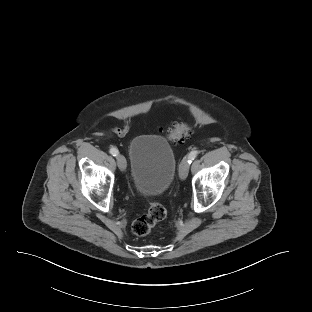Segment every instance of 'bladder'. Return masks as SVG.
I'll list each match as a JSON object with an SVG mask.
<instances>
[{"instance_id":"obj_1","label":"bladder","mask_w":312,"mask_h":312,"mask_svg":"<svg viewBox=\"0 0 312 312\" xmlns=\"http://www.w3.org/2000/svg\"><path fill=\"white\" fill-rule=\"evenodd\" d=\"M131 182L144 197L164 193L176 172V158L169 141L160 135H140L129 147Z\"/></svg>"}]
</instances>
